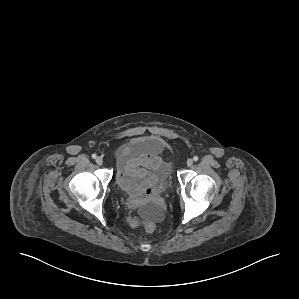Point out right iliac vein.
I'll return each instance as SVG.
<instances>
[{
  "label": "right iliac vein",
  "instance_id": "right-iliac-vein-1",
  "mask_svg": "<svg viewBox=\"0 0 299 299\" xmlns=\"http://www.w3.org/2000/svg\"><path fill=\"white\" fill-rule=\"evenodd\" d=\"M96 163L98 164V165H102L103 164V158L102 157H100V156H98L97 158H96Z\"/></svg>",
  "mask_w": 299,
  "mask_h": 299
}]
</instances>
